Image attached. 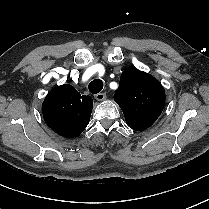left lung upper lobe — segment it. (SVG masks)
<instances>
[{
    "mask_svg": "<svg viewBox=\"0 0 209 209\" xmlns=\"http://www.w3.org/2000/svg\"><path fill=\"white\" fill-rule=\"evenodd\" d=\"M114 100L122 109L127 125L142 131L160 116L165 104V91L160 82L138 69L122 72Z\"/></svg>",
    "mask_w": 209,
    "mask_h": 209,
    "instance_id": "obj_1",
    "label": "left lung upper lobe"
}]
</instances>
